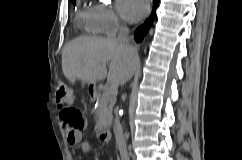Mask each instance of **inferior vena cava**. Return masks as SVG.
Listing matches in <instances>:
<instances>
[{
  "mask_svg": "<svg viewBox=\"0 0 242 160\" xmlns=\"http://www.w3.org/2000/svg\"><path fill=\"white\" fill-rule=\"evenodd\" d=\"M116 42L124 47L126 50H122V58L118 63L119 79L121 81H128L132 77V73H139V68H134V63H137L139 53L137 47H132L129 44V29L126 26H121L119 29ZM118 109H115L116 117L114 120V133L116 136V142L120 152L121 160H129L126 140L123 134V128L120 124V120L117 114Z\"/></svg>",
  "mask_w": 242,
  "mask_h": 160,
  "instance_id": "inferior-vena-cava-1",
  "label": "inferior vena cava"
}]
</instances>
